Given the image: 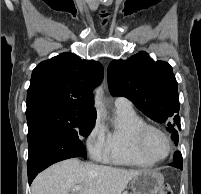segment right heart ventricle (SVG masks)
Wrapping results in <instances>:
<instances>
[{
    "label": "right heart ventricle",
    "mask_w": 201,
    "mask_h": 194,
    "mask_svg": "<svg viewBox=\"0 0 201 194\" xmlns=\"http://www.w3.org/2000/svg\"><path fill=\"white\" fill-rule=\"evenodd\" d=\"M144 120L132 107L116 106L115 114L109 126H104L105 149L102 157L113 164L132 166H152L137 145V132Z\"/></svg>",
    "instance_id": "1"
}]
</instances>
